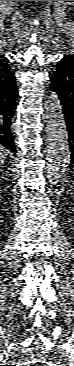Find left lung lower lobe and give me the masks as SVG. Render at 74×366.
Instances as JSON below:
<instances>
[{
    "instance_id": "obj_1",
    "label": "left lung lower lobe",
    "mask_w": 74,
    "mask_h": 366,
    "mask_svg": "<svg viewBox=\"0 0 74 366\" xmlns=\"http://www.w3.org/2000/svg\"><path fill=\"white\" fill-rule=\"evenodd\" d=\"M51 89L56 92L63 108L74 165V57H63L51 77Z\"/></svg>"
}]
</instances>
